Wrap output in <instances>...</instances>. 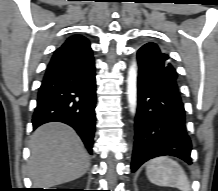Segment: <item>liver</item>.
Masks as SVG:
<instances>
[{"instance_id":"liver-1","label":"liver","mask_w":218,"mask_h":191,"mask_svg":"<svg viewBox=\"0 0 218 191\" xmlns=\"http://www.w3.org/2000/svg\"><path fill=\"white\" fill-rule=\"evenodd\" d=\"M29 176L35 188L53 187L83 176L90 160L84 145L69 126L47 123L30 140Z\"/></svg>"}]
</instances>
